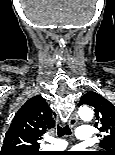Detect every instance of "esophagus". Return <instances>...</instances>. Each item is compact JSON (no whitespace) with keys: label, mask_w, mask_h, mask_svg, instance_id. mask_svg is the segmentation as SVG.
<instances>
[{"label":"esophagus","mask_w":115,"mask_h":155,"mask_svg":"<svg viewBox=\"0 0 115 155\" xmlns=\"http://www.w3.org/2000/svg\"><path fill=\"white\" fill-rule=\"evenodd\" d=\"M77 124H78V117H77L76 114H73V115L70 117L69 126L73 128V127H75Z\"/></svg>","instance_id":"1"}]
</instances>
